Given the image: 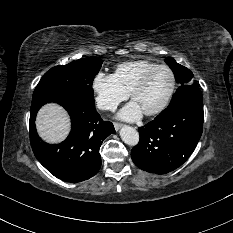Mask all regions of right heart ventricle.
<instances>
[{"label": "right heart ventricle", "mask_w": 233, "mask_h": 233, "mask_svg": "<svg viewBox=\"0 0 233 233\" xmlns=\"http://www.w3.org/2000/svg\"><path fill=\"white\" fill-rule=\"evenodd\" d=\"M158 64L147 60H134L118 64L113 76L128 94L141 77Z\"/></svg>", "instance_id": "right-heart-ventricle-1"}]
</instances>
